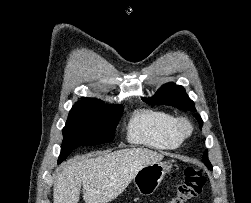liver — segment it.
Instances as JSON below:
<instances>
[{
  "label": "liver",
  "mask_w": 251,
  "mask_h": 203,
  "mask_svg": "<svg viewBox=\"0 0 251 203\" xmlns=\"http://www.w3.org/2000/svg\"><path fill=\"white\" fill-rule=\"evenodd\" d=\"M163 155L146 148L123 149L97 158L75 157L57 173L54 203H78L81 185L85 203H108L119 196L143 167Z\"/></svg>",
  "instance_id": "obj_1"
}]
</instances>
